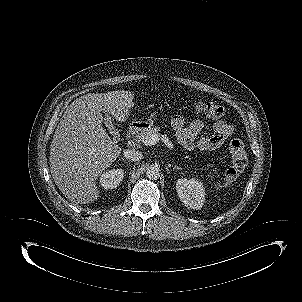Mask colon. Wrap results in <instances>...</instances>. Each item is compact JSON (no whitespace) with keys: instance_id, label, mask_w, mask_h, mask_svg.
I'll list each match as a JSON object with an SVG mask.
<instances>
[{"instance_id":"1","label":"colon","mask_w":302,"mask_h":302,"mask_svg":"<svg viewBox=\"0 0 302 302\" xmlns=\"http://www.w3.org/2000/svg\"><path fill=\"white\" fill-rule=\"evenodd\" d=\"M195 109L198 113L212 118H220L225 113V110L221 105L209 102H197L195 104ZM229 151L233 164L225 172L227 181L233 180L246 164V152L244 145L240 140H232L229 144Z\"/></svg>"}]
</instances>
